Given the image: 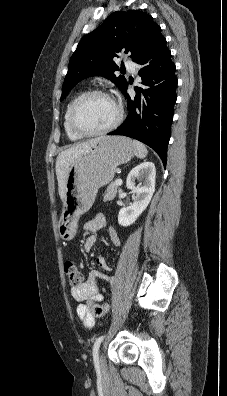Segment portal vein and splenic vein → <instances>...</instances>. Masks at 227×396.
Segmentation results:
<instances>
[{
    "mask_svg": "<svg viewBox=\"0 0 227 396\" xmlns=\"http://www.w3.org/2000/svg\"><path fill=\"white\" fill-rule=\"evenodd\" d=\"M116 185H117V186L122 185V180H121V179H117V180H116Z\"/></svg>",
    "mask_w": 227,
    "mask_h": 396,
    "instance_id": "1",
    "label": "portal vein and splenic vein"
}]
</instances>
